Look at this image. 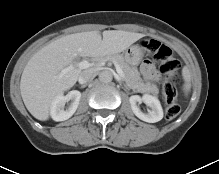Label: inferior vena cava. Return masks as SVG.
Segmentation results:
<instances>
[{
  "label": "inferior vena cava",
  "mask_w": 219,
  "mask_h": 174,
  "mask_svg": "<svg viewBox=\"0 0 219 174\" xmlns=\"http://www.w3.org/2000/svg\"><path fill=\"white\" fill-rule=\"evenodd\" d=\"M96 76V71L94 69H88V70H85L83 71L79 78H78V81L80 84H85L91 80H93Z\"/></svg>",
  "instance_id": "obj_1"
}]
</instances>
